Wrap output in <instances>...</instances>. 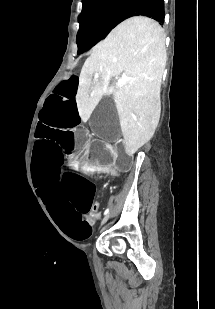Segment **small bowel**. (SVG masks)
Instances as JSON below:
<instances>
[{"mask_svg": "<svg viewBox=\"0 0 215 309\" xmlns=\"http://www.w3.org/2000/svg\"><path fill=\"white\" fill-rule=\"evenodd\" d=\"M96 205V204H95ZM97 209H98V207H97V205H96V207L94 208V210L93 211H97Z\"/></svg>", "mask_w": 215, "mask_h": 309, "instance_id": "obj_1", "label": "small bowel"}]
</instances>
